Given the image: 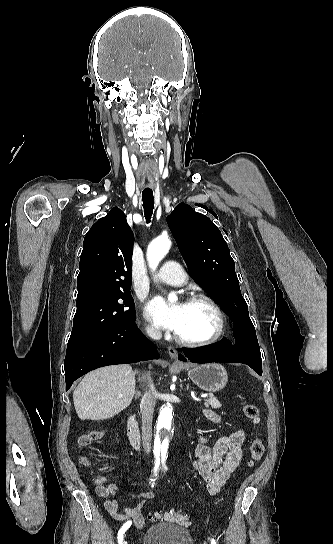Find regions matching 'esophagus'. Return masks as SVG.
Here are the masks:
<instances>
[{
	"mask_svg": "<svg viewBox=\"0 0 333 544\" xmlns=\"http://www.w3.org/2000/svg\"><path fill=\"white\" fill-rule=\"evenodd\" d=\"M168 354L172 359L177 360L178 353L173 347H168Z\"/></svg>",
	"mask_w": 333,
	"mask_h": 544,
	"instance_id": "1",
	"label": "esophagus"
}]
</instances>
